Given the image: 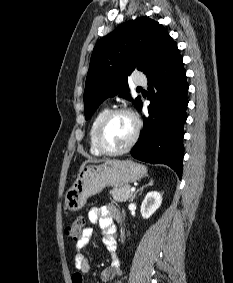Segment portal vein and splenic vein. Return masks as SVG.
I'll use <instances>...</instances> for the list:
<instances>
[{
  "label": "portal vein and splenic vein",
  "instance_id": "18ae733b",
  "mask_svg": "<svg viewBox=\"0 0 233 283\" xmlns=\"http://www.w3.org/2000/svg\"><path fill=\"white\" fill-rule=\"evenodd\" d=\"M130 190H131V192H134L136 189L134 187H132Z\"/></svg>",
  "mask_w": 233,
  "mask_h": 283
}]
</instances>
